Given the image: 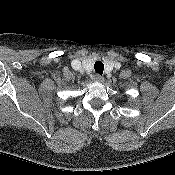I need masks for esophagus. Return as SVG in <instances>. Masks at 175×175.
<instances>
[{"label":"esophagus","instance_id":"1","mask_svg":"<svg viewBox=\"0 0 175 175\" xmlns=\"http://www.w3.org/2000/svg\"><path fill=\"white\" fill-rule=\"evenodd\" d=\"M94 81H95V82H98V83H101V82L104 81V77L101 76L100 74H96V75L94 76Z\"/></svg>","mask_w":175,"mask_h":175}]
</instances>
